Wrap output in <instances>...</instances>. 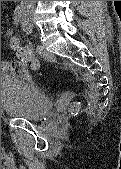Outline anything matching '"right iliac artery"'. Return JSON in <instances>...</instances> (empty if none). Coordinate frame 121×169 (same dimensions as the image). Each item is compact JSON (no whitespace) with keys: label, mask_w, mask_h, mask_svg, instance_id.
Returning a JSON list of instances; mask_svg holds the SVG:
<instances>
[{"label":"right iliac artery","mask_w":121,"mask_h":169,"mask_svg":"<svg viewBox=\"0 0 121 169\" xmlns=\"http://www.w3.org/2000/svg\"><path fill=\"white\" fill-rule=\"evenodd\" d=\"M23 15H24L23 7L21 5L17 6L14 12V23L16 25L21 23Z\"/></svg>","instance_id":"1"}]
</instances>
